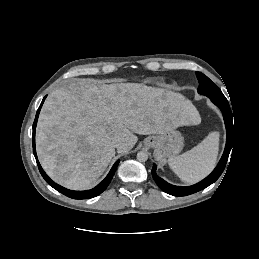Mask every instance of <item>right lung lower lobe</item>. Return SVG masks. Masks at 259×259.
Returning <instances> with one entry per match:
<instances>
[{
    "mask_svg": "<svg viewBox=\"0 0 259 259\" xmlns=\"http://www.w3.org/2000/svg\"><path fill=\"white\" fill-rule=\"evenodd\" d=\"M45 98L43 99L38 111H37V114H36V117H35V120H34V123H33V136H32V140H33V153H34V156L36 158V161H37V164H38V168H39V171L41 173V175L43 176V178L45 179V181L50 185L52 186L54 189H56L57 191H59L60 193L70 197V198H73V199H89V198H93L99 194H101L106 188L107 186L109 185L111 179L113 178L114 176V173L117 169V166L119 164V160L117 162H115V164L113 165V167L111 168L109 174L106 176V178L100 183L98 184L95 188L91 189V190H87V191H72V190H68L58 184H56L55 182H53L47 175L46 173L44 172V170L42 169L38 159H37V155H36V150H35V129H36V124H37V120H38V115H39V112H40V109L42 107V104L44 102Z\"/></svg>",
    "mask_w": 259,
    "mask_h": 259,
    "instance_id": "98d812e1",
    "label": "right lung lower lobe"
}]
</instances>
